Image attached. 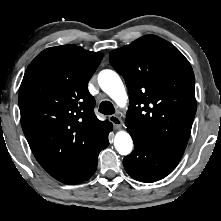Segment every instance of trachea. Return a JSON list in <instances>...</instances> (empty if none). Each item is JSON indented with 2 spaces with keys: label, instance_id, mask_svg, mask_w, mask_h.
Returning a JSON list of instances; mask_svg holds the SVG:
<instances>
[{
  "label": "trachea",
  "instance_id": "obj_1",
  "mask_svg": "<svg viewBox=\"0 0 221 221\" xmlns=\"http://www.w3.org/2000/svg\"><path fill=\"white\" fill-rule=\"evenodd\" d=\"M99 112L105 115H111L115 113V109L110 101H102L99 106Z\"/></svg>",
  "mask_w": 221,
  "mask_h": 221
}]
</instances>
